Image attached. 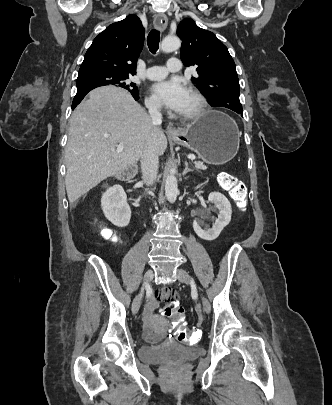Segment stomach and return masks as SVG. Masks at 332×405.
Here are the masks:
<instances>
[{"instance_id":"0dacf381","label":"stomach","mask_w":332,"mask_h":405,"mask_svg":"<svg viewBox=\"0 0 332 405\" xmlns=\"http://www.w3.org/2000/svg\"><path fill=\"white\" fill-rule=\"evenodd\" d=\"M169 138L212 165L229 162L239 150V130L236 123L219 111L203 113L182 129L178 136Z\"/></svg>"}]
</instances>
